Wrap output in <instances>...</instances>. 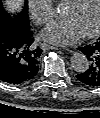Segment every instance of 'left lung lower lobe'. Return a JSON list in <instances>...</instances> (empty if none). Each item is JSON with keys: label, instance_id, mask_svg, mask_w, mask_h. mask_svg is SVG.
Here are the masks:
<instances>
[{"label": "left lung lower lobe", "instance_id": "left-lung-lower-lobe-1", "mask_svg": "<svg viewBox=\"0 0 100 118\" xmlns=\"http://www.w3.org/2000/svg\"><path fill=\"white\" fill-rule=\"evenodd\" d=\"M89 60L87 71L76 75V78L84 85L90 87L100 86V38L99 41L78 48Z\"/></svg>", "mask_w": 100, "mask_h": 118}]
</instances>
